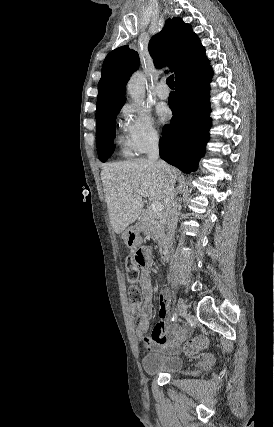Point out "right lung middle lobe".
<instances>
[{
	"label": "right lung middle lobe",
	"instance_id": "1",
	"mask_svg": "<svg viewBox=\"0 0 274 427\" xmlns=\"http://www.w3.org/2000/svg\"><path fill=\"white\" fill-rule=\"evenodd\" d=\"M122 100L96 113V146L99 160L105 162L113 153V138L115 134L114 120L125 103Z\"/></svg>",
	"mask_w": 274,
	"mask_h": 427
}]
</instances>
